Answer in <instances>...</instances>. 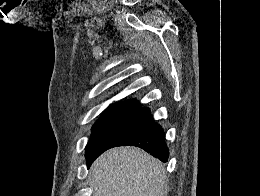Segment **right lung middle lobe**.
I'll return each mask as SVG.
<instances>
[{
    "instance_id": "1",
    "label": "right lung middle lobe",
    "mask_w": 260,
    "mask_h": 196,
    "mask_svg": "<svg viewBox=\"0 0 260 196\" xmlns=\"http://www.w3.org/2000/svg\"><path fill=\"white\" fill-rule=\"evenodd\" d=\"M154 122L148 109L133 105L110 106L93 125L86 150H107Z\"/></svg>"
}]
</instances>
